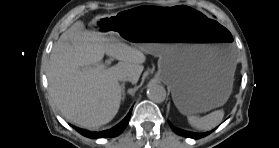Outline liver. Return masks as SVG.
<instances>
[{"label": "liver", "mask_w": 279, "mask_h": 148, "mask_svg": "<svg viewBox=\"0 0 279 148\" xmlns=\"http://www.w3.org/2000/svg\"><path fill=\"white\" fill-rule=\"evenodd\" d=\"M111 15L96 16L89 30L75 22L54 44L47 78L50 96L62 115L87 129L109 123L117 114L122 88L119 77L136 84L146 57L139 49L120 42L114 34L100 31L97 22ZM107 54L119 62L100 64Z\"/></svg>", "instance_id": "6515ba94"}]
</instances>
